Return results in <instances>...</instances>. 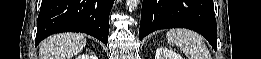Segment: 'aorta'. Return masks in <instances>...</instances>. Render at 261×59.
Listing matches in <instances>:
<instances>
[{
	"label": "aorta",
	"instance_id": "1",
	"mask_svg": "<svg viewBox=\"0 0 261 59\" xmlns=\"http://www.w3.org/2000/svg\"><path fill=\"white\" fill-rule=\"evenodd\" d=\"M140 0H126V8L131 12L140 4Z\"/></svg>",
	"mask_w": 261,
	"mask_h": 59
}]
</instances>
